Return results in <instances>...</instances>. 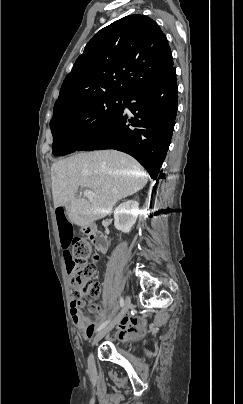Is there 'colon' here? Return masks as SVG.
<instances>
[{
	"mask_svg": "<svg viewBox=\"0 0 243 404\" xmlns=\"http://www.w3.org/2000/svg\"><path fill=\"white\" fill-rule=\"evenodd\" d=\"M98 260L99 256L94 253L88 240L76 239L73 242V276L78 285L77 290L73 293L75 299L83 295L98 296L99 286L93 281Z\"/></svg>",
	"mask_w": 243,
	"mask_h": 404,
	"instance_id": "colon-1",
	"label": "colon"
}]
</instances>
